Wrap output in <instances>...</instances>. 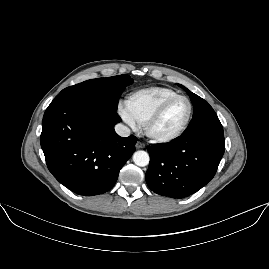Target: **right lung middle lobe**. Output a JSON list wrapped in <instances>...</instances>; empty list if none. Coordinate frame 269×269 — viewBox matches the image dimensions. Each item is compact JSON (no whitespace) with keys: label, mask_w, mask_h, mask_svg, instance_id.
Returning <instances> with one entry per match:
<instances>
[{"label":"right lung middle lobe","mask_w":269,"mask_h":269,"mask_svg":"<svg viewBox=\"0 0 269 269\" xmlns=\"http://www.w3.org/2000/svg\"><path fill=\"white\" fill-rule=\"evenodd\" d=\"M133 83L129 75L123 74L108 78L84 81L63 89L57 96H72L89 99L117 109L121 93Z\"/></svg>","instance_id":"dd1d6c3e"}]
</instances>
